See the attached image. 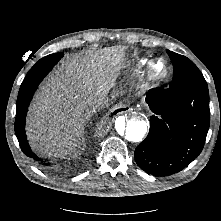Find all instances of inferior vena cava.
<instances>
[{
    "label": "inferior vena cava",
    "mask_w": 221,
    "mask_h": 221,
    "mask_svg": "<svg viewBox=\"0 0 221 221\" xmlns=\"http://www.w3.org/2000/svg\"><path fill=\"white\" fill-rule=\"evenodd\" d=\"M109 100L107 97H99L92 104V112H96L97 110L107 106Z\"/></svg>",
    "instance_id": "602c4592"
}]
</instances>
